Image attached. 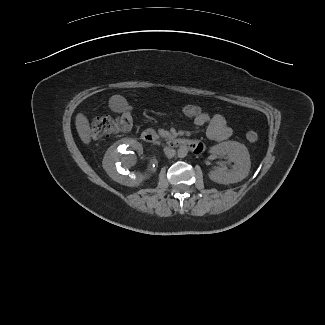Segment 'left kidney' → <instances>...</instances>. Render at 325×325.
I'll return each instance as SVG.
<instances>
[{
	"label": "left kidney",
	"mask_w": 325,
	"mask_h": 325,
	"mask_svg": "<svg viewBox=\"0 0 325 325\" xmlns=\"http://www.w3.org/2000/svg\"><path fill=\"white\" fill-rule=\"evenodd\" d=\"M210 152L214 155H226L234 162L231 170L226 167L209 172V178L219 184H232L242 181L249 174L251 161L248 149L236 141H226L213 146Z\"/></svg>",
	"instance_id": "1"
}]
</instances>
